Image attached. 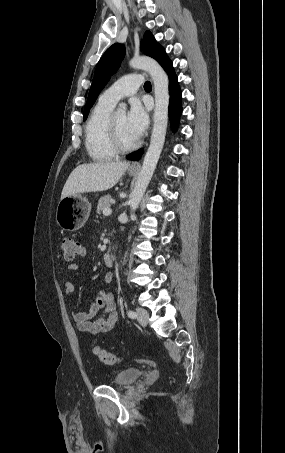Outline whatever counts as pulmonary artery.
Masks as SVG:
<instances>
[{
	"label": "pulmonary artery",
	"mask_w": 285,
	"mask_h": 453,
	"mask_svg": "<svg viewBox=\"0 0 285 453\" xmlns=\"http://www.w3.org/2000/svg\"><path fill=\"white\" fill-rule=\"evenodd\" d=\"M143 82L140 74H128L117 80L101 95V99L116 104L121 98L134 94Z\"/></svg>",
	"instance_id": "obj_1"
}]
</instances>
